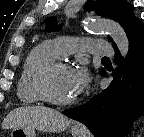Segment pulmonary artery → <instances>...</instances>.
<instances>
[{
  "label": "pulmonary artery",
  "mask_w": 144,
  "mask_h": 137,
  "mask_svg": "<svg viewBox=\"0 0 144 137\" xmlns=\"http://www.w3.org/2000/svg\"><path fill=\"white\" fill-rule=\"evenodd\" d=\"M57 56L69 55L75 51H86L100 55H112L110 44L103 40H90L74 37H58L52 42Z\"/></svg>",
  "instance_id": "1"
}]
</instances>
